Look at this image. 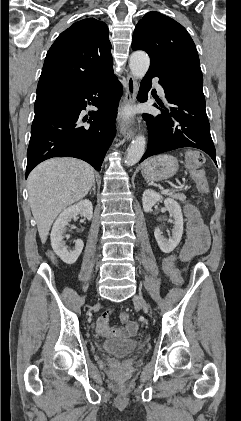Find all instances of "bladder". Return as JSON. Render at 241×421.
Instances as JSON below:
<instances>
[{
	"label": "bladder",
	"mask_w": 241,
	"mask_h": 421,
	"mask_svg": "<svg viewBox=\"0 0 241 421\" xmlns=\"http://www.w3.org/2000/svg\"><path fill=\"white\" fill-rule=\"evenodd\" d=\"M139 348V343L133 339L107 340L101 345L104 353L116 357L128 356L138 351Z\"/></svg>",
	"instance_id": "bladder-1"
}]
</instances>
